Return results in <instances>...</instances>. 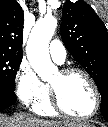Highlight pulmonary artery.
Returning <instances> with one entry per match:
<instances>
[{
	"instance_id": "1",
	"label": "pulmonary artery",
	"mask_w": 108,
	"mask_h": 127,
	"mask_svg": "<svg viewBox=\"0 0 108 127\" xmlns=\"http://www.w3.org/2000/svg\"><path fill=\"white\" fill-rule=\"evenodd\" d=\"M49 53L52 59L58 63L62 64L66 58V49L64 45L59 40H53L49 46Z\"/></svg>"
}]
</instances>
